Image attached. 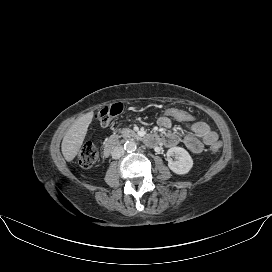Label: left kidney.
Instances as JSON below:
<instances>
[{"label":"left kidney","instance_id":"obj_1","mask_svg":"<svg viewBox=\"0 0 272 272\" xmlns=\"http://www.w3.org/2000/svg\"><path fill=\"white\" fill-rule=\"evenodd\" d=\"M172 157L175 159L173 160ZM168 167L176 174H187L193 167L190 154L182 147H172L167 151Z\"/></svg>","mask_w":272,"mask_h":272}]
</instances>
